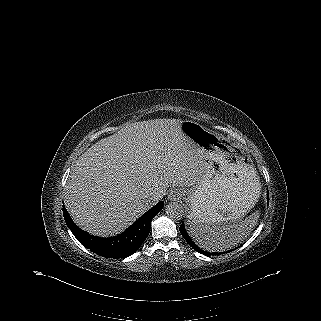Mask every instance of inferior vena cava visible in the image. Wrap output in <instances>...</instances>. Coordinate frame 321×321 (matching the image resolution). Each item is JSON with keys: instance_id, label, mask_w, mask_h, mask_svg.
I'll return each mask as SVG.
<instances>
[{"instance_id": "obj_1", "label": "inferior vena cava", "mask_w": 321, "mask_h": 321, "mask_svg": "<svg viewBox=\"0 0 321 321\" xmlns=\"http://www.w3.org/2000/svg\"><path fill=\"white\" fill-rule=\"evenodd\" d=\"M158 201H159V197L157 195L149 196L145 200V202L150 206L155 205Z\"/></svg>"}]
</instances>
